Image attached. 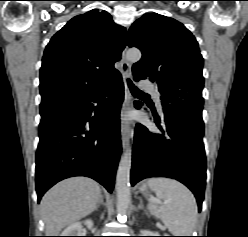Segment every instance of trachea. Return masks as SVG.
Listing matches in <instances>:
<instances>
[{
  "label": "trachea",
  "mask_w": 248,
  "mask_h": 237,
  "mask_svg": "<svg viewBox=\"0 0 248 237\" xmlns=\"http://www.w3.org/2000/svg\"><path fill=\"white\" fill-rule=\"evenodd\" d=\"M128 82V86L130 88V91L134 94V95H140V96H148V94L143 93L142 91H140L136 86H134V84L132 83V81L130 79H127Z\"/></svg>",
  "instance_id": "1"
}]
</instances>
